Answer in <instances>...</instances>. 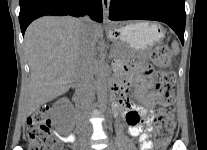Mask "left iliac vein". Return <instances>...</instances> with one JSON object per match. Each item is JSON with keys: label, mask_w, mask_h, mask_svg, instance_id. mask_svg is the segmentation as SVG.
I'll use <instances>...</instances> for the list:
<instances>
[{"label": "left iliac vein", "mask_w": 207, "mask_h": 150, "mask_svg": "<svg viewBox=\"0 0 207 150\" xmlns=\"http://www.w3.org/2000/svg\"><path fill=\"white\" fill-rule=\"evenodd\" d=\"M105 150H116L114 145H109Z\"/></svg>", "instance_id": "left-iliac-vein-1"}]
</instances>
